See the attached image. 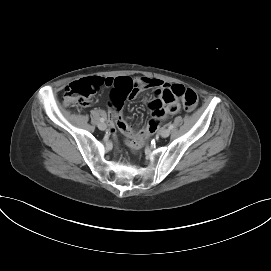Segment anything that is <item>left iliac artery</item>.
Wrapping results in <instances>:
<instances>
[{"label":"left iliac artery","mask_w":271,"mask_h":271,"mask_svg":"<svg viewBox=\"0 0 271 271\" xmlns=\"http://www.w3.org/2000/svg\"><path fill=\"white\" fill-rule=\"evenodd\" d=\"M170 130L174 128L173 124H170L168 127Z\"/></svg>","instance_id":"1"}]
</instances>
